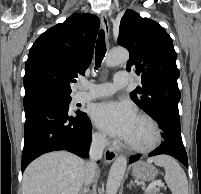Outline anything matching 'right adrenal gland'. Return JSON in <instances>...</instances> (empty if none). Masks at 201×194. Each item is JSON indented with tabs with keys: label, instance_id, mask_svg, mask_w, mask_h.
<instances>
[{
	"label": "right adrenal gland",
	"instance_id": "obj_1",
	"mask_svg": "<svg viewBox=\"0 0 201 194\" xmlns=\"http://www.w3.org/2000/svg\"><path fill=\"white\" fill-rule=\"evenodd\" d=\"M79 194H89V189L85 187L83 190L80 191Z\"/></svg>",
	"mask_w": 201,
	"mask_h": 194
}]
</instances>
